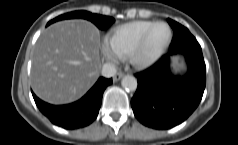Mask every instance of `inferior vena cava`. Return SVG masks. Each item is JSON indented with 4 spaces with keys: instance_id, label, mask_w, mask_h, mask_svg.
Here are the masks:
<instances>
[{
    "instance_id": "inferior-vena-cava-1",
    "label": "inferior vena cava",
    "mask_w": 238,
    "mask_h": 145,
    "mask_svg": "<svg viewBox=\"0 0 238 145\" xmlns=\"http://www.w3.org/2000/svg\"><path fill=\"white\" fill-rule=\"evenodd\" d=\"M117 70L116 67L111 63H106L101 68V75L110 78L116 74Z\"/></svg>"
}]
</instances>
